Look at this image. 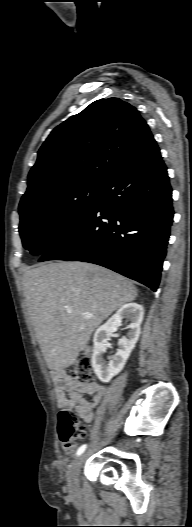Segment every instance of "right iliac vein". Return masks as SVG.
<instances>
[{"label": "right iliac vein", "instance_id": "63e3f726", "mask_svg": "<svg viewBox=\"0 0 192 527\" xmlns=\"http://www.w3.org/2000/svg\"><path fill=\"white\" fill-rule=\"evenodd\" d=\"M86 455L79 456L72 464L68 473V484L72 492H77L79 489V473L81 466L85 460Z\"/></svg>", "mask_w": 192, "mask_h": 527}]
</instances>
